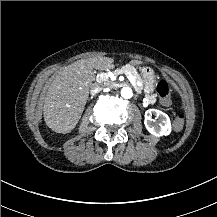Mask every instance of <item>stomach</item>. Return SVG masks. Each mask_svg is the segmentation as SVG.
I'll list each match as a JSON object with an SVG mask.
<instances>
[{
    "mask_svg": "<svg viewBox=\"0 0 217 217\" xmlns=\"http://www.w3.org/2000/svg\"><path fill=\"white\" fill-rule=\"evenodd\" d=\"M140 74L143 82V89L146 94L153 93L156 88V76L151 67H141Z\"/></svg>",
    "mask_w": 217,
    "mask_h": 217,
    "instance_id": "0dacf381",
    "label": "stomach"
}]
</instances>
